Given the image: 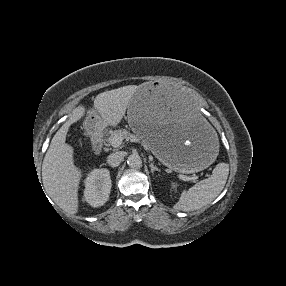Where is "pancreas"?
<instances>
[{"mask_svg":"<svg viewBox=\"0 0 286 286\" xmlns=\"http://www.w3.org/2000/svg\"><path fill=\"white\" fill-rule=\"evenodd\" d=\"M116 136H119V137H121L122 139L134 141V142H140V141L142 140L140 137H138V136H136V135H134V134L128 132V131L125 130V129H122V130H116V131H114L113 133H111L110 136L107 138L106 141H107L109 144H111L113 138L116 137ZM142 143H143V145H144V147H145L146 149H149L148 146L144 143L143 140H142Z\"/></svg>","mask_w":286,"mask_h":286,"instance_id":"cf45deb5","label":"pancreas"}]
</instances>
